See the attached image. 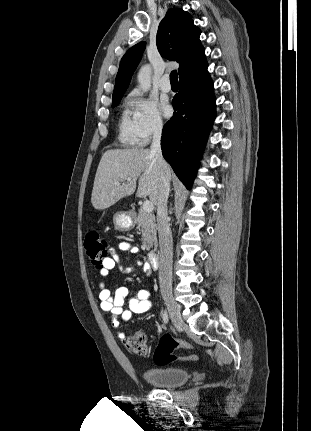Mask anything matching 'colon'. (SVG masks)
<instances>
[{
  "instance_id": "1",
  "label": "colon",
  "mask_w": 311,
  "mask_h": 431,
  "mask_svg": "<svg viewBox=\"0 0 311 431\" xmlns=\"http://www.w3.org/2000/svg\"><path fill=\"white\" fill-rule=\"evenodd\" d=\"M86 254L91 263L101 269L103 262L108 255V243L101 238L97 233L90 234L85 241ZM124 347L135 355L144 356L148 349L146 345V336L143 332H136L123 340ZM192 349V345L175 340L170 335H164L154 352V362L159 366L167 365L175 361H197L198 357L195 354L176 355V349Z\"/></svg>"
}]
</instances>
